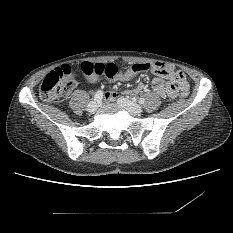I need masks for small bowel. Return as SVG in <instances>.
<instances>
[{"label": "small bowel", "mask_w": 233, "mask_h": 233, "mask_svg": "<svg viewBox=\"0 0 233 233\" xmlns=\"http://www.w3.org/2000/svg\"><path fill=\"white\" fill-rule=\"evenodd\" d=\"M159 71L155 72V77L152 79L153 90L162 99L175 98L177 96L178 90L188 86V82L185 74L176 70L170 65L158 64ZM115 80H127L128 78L122 74H118L114 77ZM95 81V79H90ZM143 89L142 85L128 90L126 93L131 96L138 95ZM118 97V94L115 92H110L105 94V99L107 101H115Z\"/></svg>", "instance_id": "small-bowel-1"}]
</instances>
